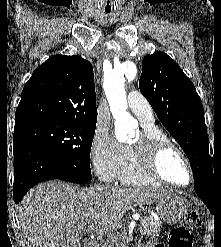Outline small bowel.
Returning a JSON list of instances; mask_svg holds the SVG:
<instances>
[{
  "label": "small bowel",
  "mask_w": 221,
  "mask_h": 247,
  "mask_svg": "<svg viewBox=\"0 0 221 247\" xmlns=\"http://www.w3.org/2000/svg\"><path fill=\"white\" fill-rule=\"evenodd\" d=\"M147 247H162V246L149 244Z\"/></svg>",
  "instance_id": "c3829d8e"
}]
</instances>
